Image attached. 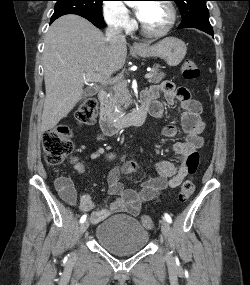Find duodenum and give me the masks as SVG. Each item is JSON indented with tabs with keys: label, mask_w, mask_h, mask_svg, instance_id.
Listing matches in <instances>:
<instances>
[{
	"label": "duodenum",
	"mask_w": 250,
	"mask_h": 285,
	"mask_svg": "<svg viewBox=\"0 0 250 285\" xmlns=\"http://www.w3.org/2000/svg\"><path fill=\"white\" fill-rule=\"evenodd\" d=\"M98 99L101 104L100 127L102 132L106 135H113L126 126L142 125L149 114L147 104L142 101L141 105L133 111L120 117H114L109 113L107 108L108 93L104 90L100 91Z\"/></svg>",
	"instance_id": "1"
}]
</instances>
